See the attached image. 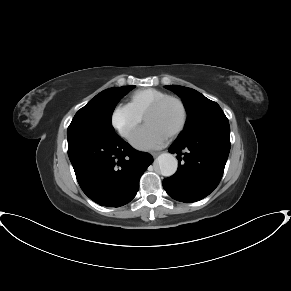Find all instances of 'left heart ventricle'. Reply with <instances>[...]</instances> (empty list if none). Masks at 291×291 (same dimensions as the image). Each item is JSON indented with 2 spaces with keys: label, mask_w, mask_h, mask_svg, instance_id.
I'll return each mask as SVG.
<instances>
[{
  "label": "left heart ventricle",
  "mask_w": 291,
  "mask_h": 291,
  "mask_svg": "<svg viewBox=\"0 0 291 291\" xmlns=\"http://www.w3.org/2000/svg\"><path fill=\"white\" fill-rule=\"evenodd\" d=\"M181 110L174 101L167 102L158 111L147 116L145 123L169 135L180 123Z\"/></svg>",
  "instance_id": "b2bd125f"
}]
</instances>
